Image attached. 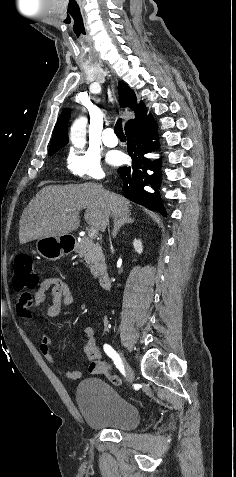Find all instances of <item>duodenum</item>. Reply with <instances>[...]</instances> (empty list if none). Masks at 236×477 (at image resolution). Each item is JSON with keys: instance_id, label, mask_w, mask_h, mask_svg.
Masks as SVG:
<instances>
[{"instance_id": "obj_1", "label": "duodenum", "mask_w": 236, "mask_h": 477, "mask_svg": "<svg viewBox=\"0 0 236 477\" xmlns=\"http://www.w3.org/2000/svg\"><path fill=\"white\" fill-rule=\"evenodd\" d=\"M64 245L68 249H72L75 246V240L74 239H66L64 241ZM99 286L102 289H109L111 287V278L108 274H103L99 278Z\"/></svg>"}]
</instances>
